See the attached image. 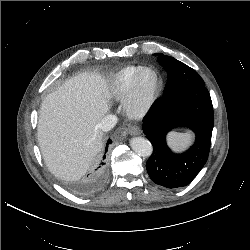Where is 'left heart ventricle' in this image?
<instances>
[{"instance_id":"1","label":"left heart ventricle","mask_w":250,"mask_h":250,"mask_svg":"<svg viewBox=\"0 0 250 250\" xmlns=\"http://www.w3.org/2000/svg\"><path fill=\"white\" fill-rule=\"evenodd\" d=\"M155 84V77L152 72H147L144 74L140 86H139V96L140 99L146 98L152 91Z\"/></svg>"}]
</instances>
